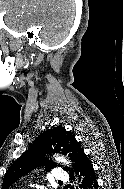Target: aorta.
<instances>
[{"label": "aorta", "instance_id": "aorta-1", "mask_svg": "<svg viewBox=\"0 0 124 189\" xmlns=\"http://www.w3.org/2000/svg\"><path fill=\"white\" fill-rule=\"evenodd\" d=\"M55 160H56L57 162H62V163H64V164H69V162H68L64 157H62V156H56V157H55Z\"/></svg>", "mask_w": 124, "mask_h": 189}]
</instances>
